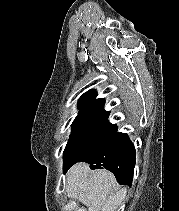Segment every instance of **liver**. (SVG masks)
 I'll return each instance as SVG.
<instances>
[{"instance_id": "obj_1", "label": "liver", "mask_w": 179, "mask_h": 211, "mask_svg": "<svg viewBox=\"0 0 179 211\" xmlns=\"http://www.w3.org/2000/svg\"><path fill=\"white\" fill-rule=\"evenodd\" d=\"M66 192L87 206L88 211H117L126 196V188L117 187L111 172L91 171L86 163H77L69 169Z\"/></svg>"}]
</instances>
